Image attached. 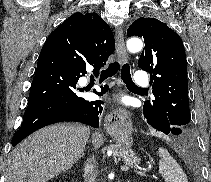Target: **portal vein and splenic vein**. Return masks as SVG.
Instances as JSON below:
<instances>
[{
  "label": "portal vein and splenic vein",
  "mask_w": 211,
  "mask_h": 182,
  "mask_svg": "<svg viewBox=\"0 0 211 182\" xmlns=\"http://www.w3.org/2000/svg\"><path fill=\"white\" fill-rule=\"evenodd\" d=\"M110 153L112 154V150H110ZM121 169H122V171L126 172V171H128L129 168L127 166H123ZM141 175H144V174L141 173ZM153 177L155 179H157V176L156 175H153Z\"/></svg>",
  "instance_id": "obj_1"
}]
</instances>
